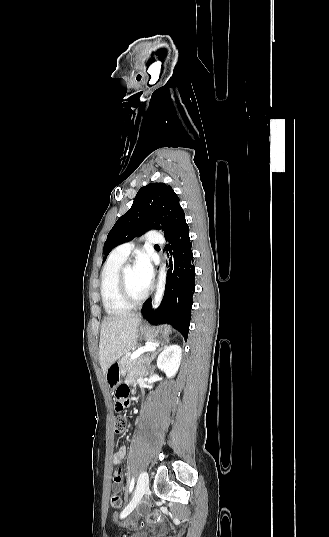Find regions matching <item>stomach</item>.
<instances>
[{"mask_svg": "<svg viewBox=\"0 0 329 537\" xmlns=\"http://www.w3.org/2000/svg\"><path fill=\"white\" fill-rule=\"evenodd\" d=\"M141 333H146L145 329H141ZM153 343L159 344L167 340V329L165 326H158L150 331ZM120 366L116 361L106 372V381L110 387H115L120 380Z\"/></svg>", "mask_w": 329, "mask_h": 537, "instance_id": "stomach-1", "label": "stomach"}]
</instances>
